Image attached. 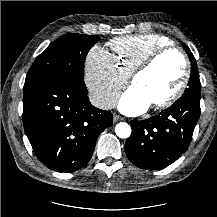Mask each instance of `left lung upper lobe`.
I'll return each instance as SVG.
<instances>
[{"label":"left lung upper lobe","mask_w":217,"mask_h":217,"mask_svg":"<svg viewBox=\"0 0 217 217\" xmlns=\"http://www.w3.org/2000/svg\"><path fill=\"white\" fill-rule=\"evenodd\" d=\"M183 47L191 61V77L188 82V88L185 89L183 96L200 99L201 84L199 80V72H198L197 64L195 62V58L192 52L190 51L189 47L185 44H183Z\"/></svg>","instance_id":"1"}]
</instances>
